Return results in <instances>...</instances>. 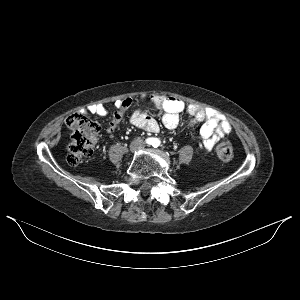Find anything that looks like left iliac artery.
<instances>
[{
  "label": "left iliac artery",
  "instance_id": "left-iliac-artery-1",
  "mask_svg": "<svg viewBox=\"0 0 300 300\" xmlns=\"http://www.w3.org/2000/svg\"><path fill=\"white\" fill-rule=\"evenodd\" d=\"M158 145H159V143L158 142H155L154 144H153V147H158Z\"/></svg>",
  "mask_w": 300,
  "mask_h": 300
}]
</instances>
